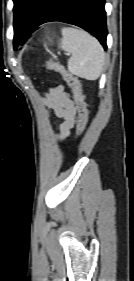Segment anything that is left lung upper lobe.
<instances>
[{"mask_svg":"<svg viewBox=\"0 0 134 281\" xmlns=\"http://www.w3.org/2000/svg\"><path fill=\"white\" fill-rule=\"evenodd\" d=\"M14 31L25 29L42 0H13Z\"/></svg>","mask_w":134,"mask_h":281,"instance_id":"1","label":"left lung upper lobe"}]
</instances>
